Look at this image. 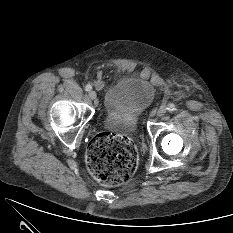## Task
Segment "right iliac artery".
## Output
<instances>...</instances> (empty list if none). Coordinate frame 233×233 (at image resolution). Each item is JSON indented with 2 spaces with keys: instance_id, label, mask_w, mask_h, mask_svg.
<instances>
[{
  "instance_id": "82829eb1",
  "label": "right iliac artery",
  "mask_w": 233,
  "mask_h": 233,
  "mask_svg": "<svg viewBox=\"0 0 233 233\" xmlns=\"http://www.w3.org/2000/svg\"><path fill=\"white\" fill-rule=\"evenodd\" d=\"M91 89H92V86H91L90 84H87V85L85 86V90H86V91H91Z\"/></svg>"
}]
</instances>
